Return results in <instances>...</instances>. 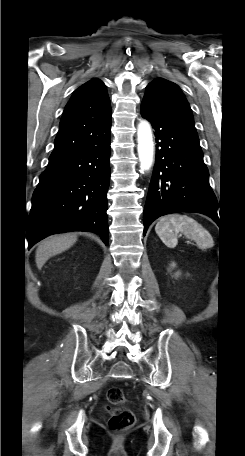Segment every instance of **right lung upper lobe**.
<instances>
[{"label": "right lung upper lobe", "instance_id": "cb5924a9", "mask_svg": "<svg viewBox=\"0 0 245 456\" xmlns=\"http://www.w3.org/2000/svg\"><path fill=\"white\" fill-rule=\"evenodd\" d=\"M110 126V99L105 84L94 78L79 87L67 103L49 160L89 147Z\"/></svg>", "mask_w": 245, "mask_h": 456}]
</instances>
